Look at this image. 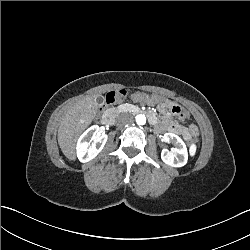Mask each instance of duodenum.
Segmentation results:
<instances>
[{"instance_id": "obj_1", "label": "duodenum", "mask_w": 250, "mask_h": 250, "mask_svg": "<svg viewBox=\"0 0 250 250\" xmlns=\"http://www.w3.org/2000/svg\"><path fill=\"white\" fill-rule=\"evenodd\" d=\"M136 114L139 113L138 111L135 112ZM102 123L106 126H110L113 124V112L108 111L102 117Z\"/></svg>"}]
</instances>
